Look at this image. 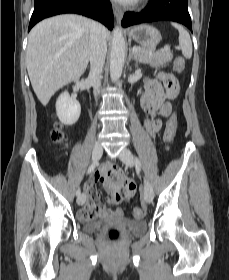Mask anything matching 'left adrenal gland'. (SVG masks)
I'll return each mask as SVG.
<instances>
[{"mask_svg": "<svg viewBox=\"0 0 229 280\" xmlns=\"http://www.w3.org/2000/svg\"><path fill=\"white\" fill-rule=\"evenodd\" d=\"M133 59H134V57H133V53H132L131 49H129V57H128V61H131V60H133ZM134 60H135V59H134ZM135 67H138L137 62H135Z\"/></svg>", "mask_w": 229, "mask_h": 280, "instance_id": "obj_1", "label": "left adrenal gland"}]
</instances>
